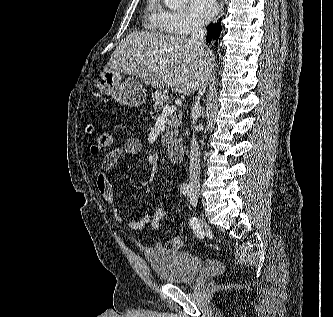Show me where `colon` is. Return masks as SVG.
Here are the masks:
<instances>
[{
  "label": "colon",
  "mask_w": 333,
  "mask_h": 317,
  "mask_svg": "<svg viewBox=\"0 0 333 317\" xmlns=\"http://www.w3.org/2000/svg\"><path fill=\"white\" fill-rule=\"evenodd\" d=\"M90 137V150L93 154L100 153L106 150L111 144V138L108 132L95 124H89L86 128ZM169 210L167 207H159L152 214L150 225L153 229H157L161 223L167 219ZM173 248L181 249L184 246V241L180 237L171 239Z\"/></svg>",
  "instance_id": "5ec220e1"
}]
</instances>
